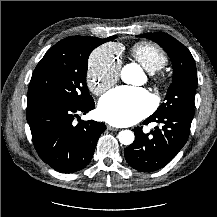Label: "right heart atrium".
Listing matches in <instances>:
<instances>
[{"label":"right heart atrium","mask_w":217,"mask_h":217,"mask_svg":"<svg viewBox=\"0 0 217 217\" xmlns=\"http://www.w3.org/2000/svg\"><path fill=\"white\" fill-rule=\"evenodd\" d=\"M120 67L117 46L108 44L95 49L89 58L86 74L89 89L96 95L104 93L118 80Z\"/></svg>","instance_id":"right-heart-atrium-1"}]
</instances>
